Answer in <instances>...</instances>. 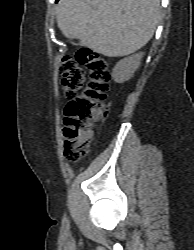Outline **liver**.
<instances>
[{
  "label": "liver",
  "instance_id": "6515ba94",
  "mask_svg": "<svg viewBox=\"0 0 194 250\" xmlns=\"http://www.w3.org/2000/svg\"><path fill=\"white\" fill-rule=\"evenodd\" d=\"M57 25L80 45L108 57L134 53L152 38L160 0H60Z\"/></svg>",
  "mask_w": 194,
  "mask_h": 250
}]
</instances>
